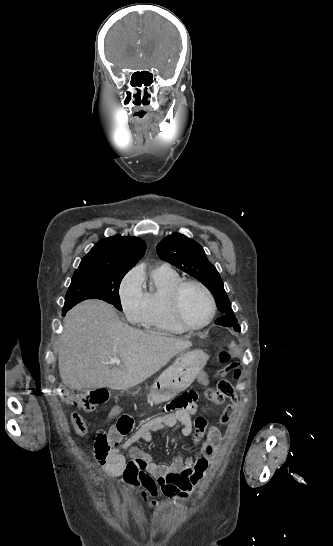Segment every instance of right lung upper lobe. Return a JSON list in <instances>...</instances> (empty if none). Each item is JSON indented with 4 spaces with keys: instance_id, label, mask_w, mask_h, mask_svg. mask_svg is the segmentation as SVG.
Listing matches in <instances>:
<instances>
[{
    "instance_id": "cb5924a9",
    "label": "right lung upper lobe",
    "mask_w": 333,
    "mask_h": 546,
    "mask_svg": "<svg viewBox=\"0 0 333 546\" xmlns=\"http://www.w3.org/2000/svg\"><path fill=\"white\" fill-rule=\"evenodd\" d=\"M145 250L146 243L138 237L114 235L102 239L82 259L74 275L98 266L129 271L143 257Z\"/></svg>"
}]
</instances>
